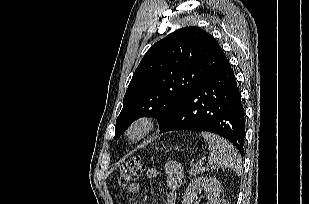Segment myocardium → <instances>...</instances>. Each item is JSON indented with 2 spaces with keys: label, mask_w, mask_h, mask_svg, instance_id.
<instances>
[{
  "label": "myocardium",
  "mask_w": 309,
  "mask_h": 204,
  "mask_svg": "<svg viewBox=\"0 0 309 204\" xmlns=\"http://www.w3.org/2000/svg\"><path fill=\"white\" fill-rule=\"evenodd\" d=\"M155 128V119L151 116H142L134 120L126 130L127 138L138 142L147 137Z\"/></svg>",
  "instance_id": "myocardium-1"
}]
</instances>
